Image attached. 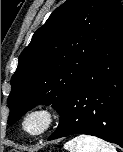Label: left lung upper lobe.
<instances>
[{
    "label": "left lung upper lobe",
    "instance_id": "left-lung-upper-lobe-1",
    "mask_svg": "<svg viewBox=\"0 0 123 152\" xmlns=\"http://www.w3.org/2000/svg\"><path fill=\"white\" fill-rule=\"evenodd\" d=\"M121 10L119 0H67L50 15L19 56L9 125L39 104L60 114Z\"/></svg>",
    "mask_w": 123,
    "mask_h": 152
}]
</instances>
